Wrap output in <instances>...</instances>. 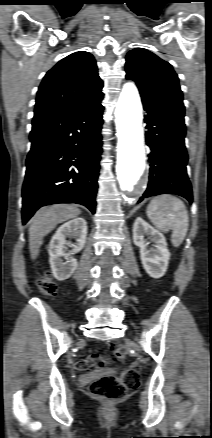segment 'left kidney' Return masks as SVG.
<instances>
[{
    "mask_svg": "<svg viewBox=\"0 0 212 438\" xmlns=\"http://www.w3.org/2000/svg\"><path fill=\"white\" fill-rule=\"evenodd\" d=\"M150 235L155 243L148 249L144 235ZM133 242L140 248V258L143 268L153 278L162 277L168 267L170 252L164 235L148 224L141 217L136 218L133 226Z\"/></svg>",
    "mask_w": 212,
    "mask_h": 438,
    "instance_id": "left-kidney-1",
    "label": "left kidney"
}]
</instances>
